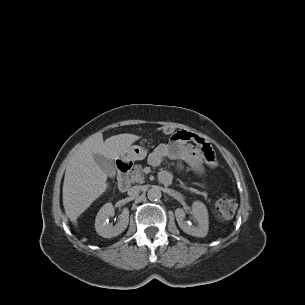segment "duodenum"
<instances>
[{
  "label": "duodenum",
  "instance_id": "410a0bca",
  "mask_svg": "<svg viewBox=\"0 0 305 305\" xmlns=\"http://www.w3.org/2000/svg\"><path fill=\"white\" fill-rule=\"evenodd\" d=\"M117 170H118V188L121 192H125L128 190L130 186L129 173L131 170V165L126 161H119L117 163ZM160 181L164 185H168L171 182V180L167 177H162Z\"/></svg>",
  "mask_w": 305,
  "mask_h": 305
}]
</instances>
